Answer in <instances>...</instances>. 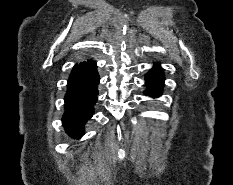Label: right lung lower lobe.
<instances>
[{"instance_id":"98d812e1","label":"right lung lower lobe","mask_w":233,"mask_h":185,"mask_svg":"<svg viewBox=\"0 0 233 185\" xmlns=\"http://www.w3.org/2000/svg\"><path fill=\"white\" fill-rule=\"evenodd\" d=\"M99 80L96 62L92 60L76 64L72 69L62 122L68 135L75 139L84 134V125L93 116Z\"/></svg>"}]
</instances>
